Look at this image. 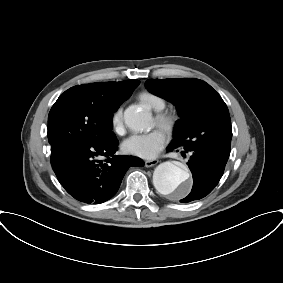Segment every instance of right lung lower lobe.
<instances>
[{"mask_svg":"<svg viewBox=\"0 0 283 283\" xmlns=\"http://www.w3.org/2000/svg\"><path fill=\"white\" fill-rule=\"evenodd\" d=\"M118 144L115 138L105 144L55 146L51 152L52 168L72 197L85 203H103L117 193L129 167L144 165L140 158L117 155Z\"/></svg>","mask_w":283,"mask_h":283,"instance_id":"right-lung-lower-lobe-1","label":"right lung lower lobe"}]
</instances>
